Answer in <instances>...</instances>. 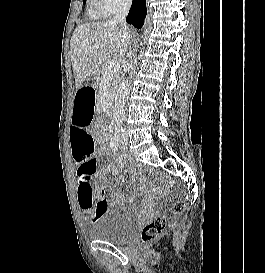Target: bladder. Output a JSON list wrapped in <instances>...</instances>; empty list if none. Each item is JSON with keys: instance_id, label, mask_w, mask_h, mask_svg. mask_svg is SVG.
Listing matches in <instances>:
<instances>
[{"instance_id": "obj_1", "label": "bladder", "mask_w": 265, "mask_h": 273, "mask_svg": "<svg viewBox=\"0 0 265 273\" xmlns=\"http://www.w3.org/2000/svg\"><path fill=\"white\" fill-rule=\"evenodd\" d=\"M139 223L138 214L126 209H114L101 213L88 229V235L98 241L122 244L135 235Z\"/></svg>"}]
</instances>
